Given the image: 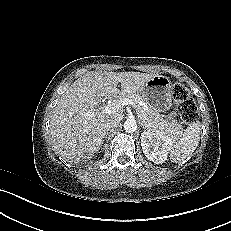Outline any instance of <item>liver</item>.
I'll list each match as a JSON object with an SVG mask.
<instances>
[{"mask_svg":"<svg viewBox=\"0 0 231 231\" xmlns=\"http://www.w3.org/2000/svg\"><path fill=\"white\" fill-rule=\"evenodd\" d=\"M155 75L92 71L78 78L53 109L50 121L53 150L74 163L86 161L97 153L107 133L105 121L111 117L119 118L116 113L99 112L97 98L123 97L139 92Z\"/></svg>","mask_w":231,"mask_h":231,"instance_id":"obj_1","label":"liver"}]
</instances>
